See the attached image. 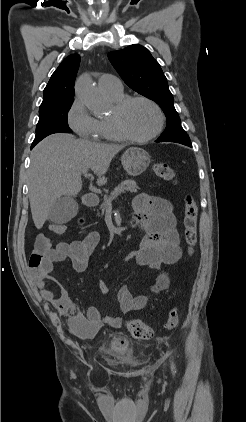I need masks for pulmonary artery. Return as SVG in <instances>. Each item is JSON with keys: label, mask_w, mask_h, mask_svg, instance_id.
I'll return each mask as SVG.
<instances>
[{"label": "pulmonary artery", "mask_w": 246, "mask_h": 422, "mask_svg": "<svg viewBox=\"0 0 246 422\" xmlns=\"http://www.w3.org/2000/svg\"><path fill=\"white\" fill-rule=\"evenodd\" d=\"M98 87L103 93L117 94L123 92L121 81L111 74H103L98 79Z\"/></svg>", "instance_id": "e3ab8cb5"}]
</instances>
